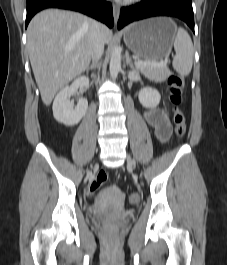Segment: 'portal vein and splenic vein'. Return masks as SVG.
I'll return each mask as SVG.
<instances>
[{"label": "portal vein and splenic vein", "mask_w": 227, "mask_h": 265, "mask_svg": "<svg viewBox=\"0 0 227 265\" xmlns=\"http://www.w3.org/2000/svg\"><path fill=\"white\" fill-rule=\"evenodd\" d=\"M168 63V58H165L162 61H148V62H143V61H136V65L139 67H144V66H149V67H164Z\"/></svg>", "instance_id": "1"}]
</instances>
